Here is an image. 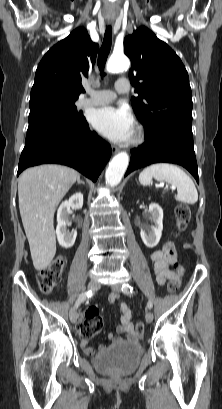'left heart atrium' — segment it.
I'll list each match as a JSON object with an SVG mask.
<instances>
[{"mask_svg": "<svg viewBox=\"0 0 222 409\" xmlns=\"http://www.w3.org/2000/svg\"><path fill=\"white\" fill-rule=\"evenodd\" d=\"M90 123L103 136L117 143L128 142L135 131L133 116L125 107L98 108L91 113Z\"/></svg>", "mask_w": 222, "mask_h": 409, "instance_id": "1", "label": "left heart atrium"}]
</instances>
